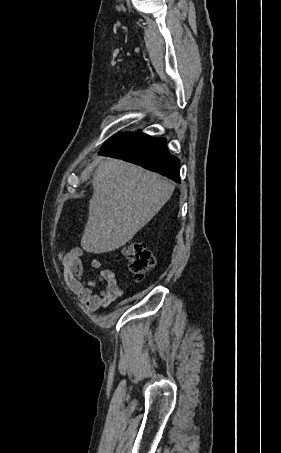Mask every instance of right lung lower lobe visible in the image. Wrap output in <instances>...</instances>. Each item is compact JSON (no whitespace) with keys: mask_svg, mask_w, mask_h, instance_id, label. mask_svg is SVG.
<instances>
[{"mask_svg":"<svg viewBox=\"0 0 281 453\" xmlns=\"http://www.w3.org/2000/svg\"><path fill=\"white\" fill-rule=\"evenodd\" d=\"M99 154L140 165L180 183V161L168 152L163 138L140 132L121 133L108 140Z\"/></svg>","mask_w":281,"mask_h":453,"instance_id":"obj_1","label":"right lung lower lobe"}]
</instances>
